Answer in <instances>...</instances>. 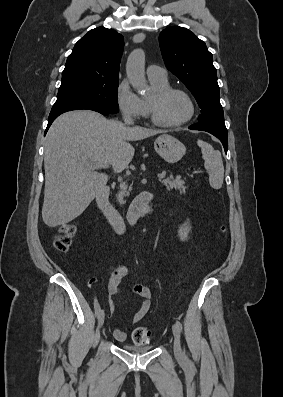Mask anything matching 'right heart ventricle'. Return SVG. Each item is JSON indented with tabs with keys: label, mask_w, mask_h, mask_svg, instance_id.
<instances>
[{
	"label": "right heart ventricle",
	"mask_w": 283,
	"mask_h": 397,
	"mask_svg": "<svg viewBox=\"0 0 283 397\" xmlns=\"http://www.w3.org/2000/svg\"><path fill=\"white\" fill-rule=\"evenodd\" d=\"M149 80H150V83L154 89V92H157L164 88L170 87V83L167 78L163 79V80L149 78ZM149 100H150V98L142 99L144 107H145V111H146L145 115L149 114Z\"/></svg>",
	"instance_id": "1"
}]
</instances>
